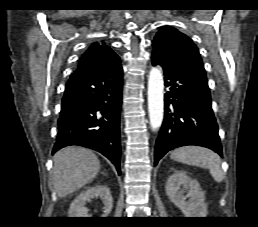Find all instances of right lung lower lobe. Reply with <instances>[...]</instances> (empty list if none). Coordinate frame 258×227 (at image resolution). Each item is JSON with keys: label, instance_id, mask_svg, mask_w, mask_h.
Instances as JSON below:
<instances>
[{"label": "right lung lower lobe", "instance_id": "98d812e1", "mask_svg": "<svg viewBox=\"0 0 258 227\" xmlns=\"http://www.w3.org/2000/svg\"><path fill=\"white\" fill-rule=\"evenodd\" d=\"M123 70L113 55L75 71L66 84L53 153L80 145L106 156L120 174V111Z\"/></svg>", "mask_w": 258, "mask_h": 227}]
</instances>
